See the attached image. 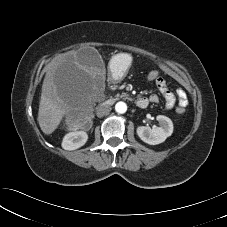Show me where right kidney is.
Listing matches in <instances>:
<instances>
[{
	"instance_id": "obj_1",
	"label": "right kidney",
	"mask_w": 227,
	"mask_h": 227,
	"mask_svg": "<svg viewBox=\"0 0 227 227\" xmlns=\"http://www.w3.org/2000/svg\"><path fill=\"white\" fill-rule=\"evenodd\" d=\"M88 140V134L85 131H75L66 134L62 141V147L65 150H75L82 147Z\"/></svg>"
}]
</instances>
